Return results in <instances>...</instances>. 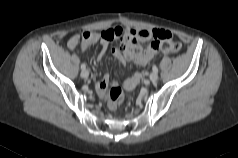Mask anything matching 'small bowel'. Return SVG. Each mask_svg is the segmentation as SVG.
<instances>
[{
  "label": "small bowel",
  "instance_id": "small-bowel-1",
  "mask_svg": "<svg viewBox=\"0 0 238 158\" xmlns=\"http://www.w3.org/2000/svg\"><path fill=\"white\" fill-rule=\"evenodd\" d=\"M109 32L112 38L105 34ZM120 38V46L112 49L113 56L120 62L133 61L134 63L144 66L148 64L160 51L161 43L167 38H171L170 32L163 29H140L115 27L105 30L101 33L85 31L81 34H75L68 41V47L72 50H84L89 45L99 42L100 51L96 57L100 61L108 50L111 40ZM152 40L150 45L143 49L141 43ZM141 73H135L126 83L129 89H133L140 81ZM110 84L109 75L105 74L102 78L96 79V90L100 95H105Z\"/></svg>",
  "mask_w": 238,
  "mask_h": 158
}]
</instances>
